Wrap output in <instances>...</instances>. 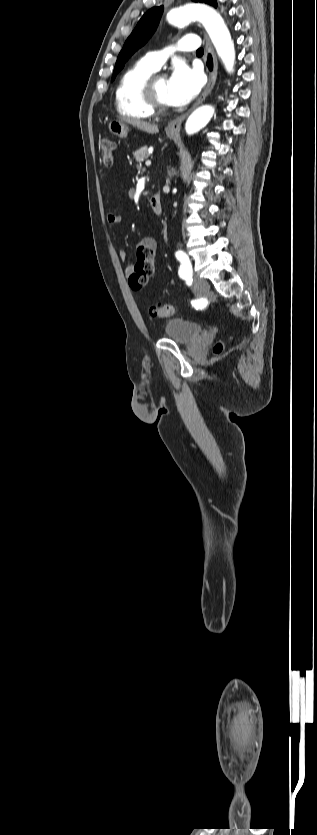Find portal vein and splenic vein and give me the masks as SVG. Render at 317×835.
I'll list each match as a JSON object with an SVG mask.
<instances>
[{
    "label": "portal vein and splenic vein",
    "mask_w": 317,
    "mask_h": 835,
    "mask_svg": "<svg viewBox=\"0 0 317 835\" xmlns=\"http://www.w3.org/2000/svg\"><path fill=\"white\" fill-rule=\"evenodd\" d=\"M145 165H146L147 167H149V166L151 165V161H146V162H145Z\"/></svg>",
    "instance_id": "1"
}]
</instances>
